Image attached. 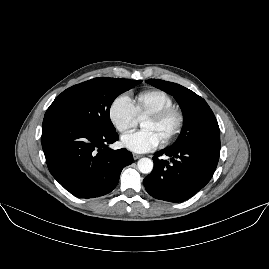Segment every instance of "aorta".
I'll return each instance as SVG.
<instances>
[{
  "mask_svg": "<svg viewBox=\"0 0 269 269\" xmlns=\"http://www.w3.org/2000/svg\"><path fill=\"white\" fill-rule=\"evenodd\" d=\"M137 167L142 174H150L154 164L150 158H141L137 163Z\"/></svg>",
  "mask_w": 269,
  "mask_h": 269,
  "instance_id": "obj_1",
  "label": "aorta"
}]
</instances>
